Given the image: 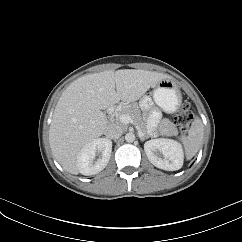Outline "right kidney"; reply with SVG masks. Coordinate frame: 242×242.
Returning <instances> with one entry per match:
<instances>
[{
  "mask_svg": "<svg viewBox=\"0 0 242 242\" xmlns=\"http://www.w3.org/2000/svg\"><path fill=\"white\" fill-rule=\"evenodd\" d=\"M112 151V142L107 138H97L88 142L79 152L77 163L83 175H94L102 171L108 164ZM96 152L101 156L95 160Z\"/></svg>",
  "mask_w": 242,
  "mask_h": 242,
  "instance_id": "obj_1",
  "label": "right kidney"
}]
</instances>
